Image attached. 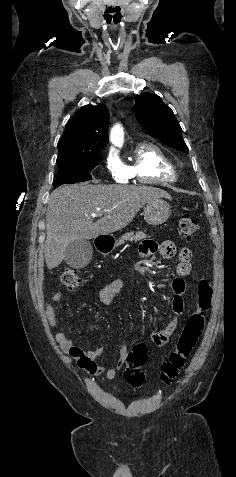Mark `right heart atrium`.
Instances as JSON below:
<instances>
[{"label":"right heart atrium","mask_w":236,"mask_h":477,"mask_svg":"<svg viewBox=\"0 0 236 477\" xmlns=\"http://www.w3.org/2000/svg\"><path fill=\"white\" fill-rule=\"evenodd\" d=\"M106 168L116 182L126 183L130 179L127 167L113 153L106 157Z\"/></svg>","instance_id":"1"}]
</instances>
